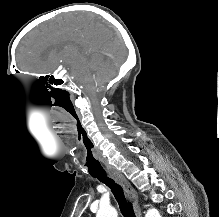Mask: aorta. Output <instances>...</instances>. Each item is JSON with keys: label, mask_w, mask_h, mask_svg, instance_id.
I'll return each instance as SVG.
<instances>
[{"label": "aorta", "mask_w": 219, "mask_h": 217, "mask_svg": "<svg viewBox=\"0 0 219 217\" xmlns=\"http://www.w3.org/2000/svg\"><path fill=\"white\" fill-rule=\"evenodd\" d=\"M117 211L113 207H103L100 208L96 214V217H117ZM145 217H161L160 213L152 208L149 209Z\"/></svg>", "instance_id": "obj_1"}]
</instances>
